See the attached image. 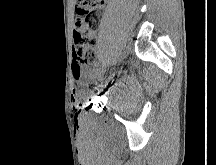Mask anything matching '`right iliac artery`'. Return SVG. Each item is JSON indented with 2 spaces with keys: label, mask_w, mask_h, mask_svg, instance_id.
Instances as JSON below:
<instances>
[{
  "label": "right iliac artery",
  "mask_w": 216,
  "mask_h": 165,
  "mask_svg": "<svg viewBox=\"0 0 216 165\" xmlns=\"http://www.w3.org/2000/svg\"><path fill=\"white\" fill-rule=\"evenodd\" d=\"M109 58L107 56H105L98 64H96V67L94 68V71L95 72H98L99 69L103 68V66L105 65L106 61L108 60Z\"/></svg>",
  "instance_id": "1"
}]
</instances>
